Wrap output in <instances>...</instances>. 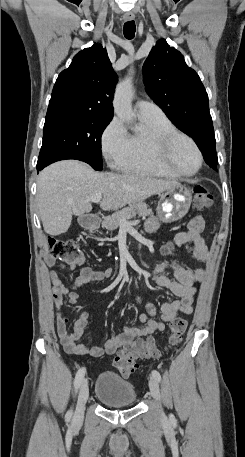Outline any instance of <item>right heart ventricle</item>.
I'll return each mask as SVG.
<instances>
[{"label":"right heart ventricle","instance_id":"1","mask_svg":"<svg viewBox=\"0 0 245 457\" xmlns=\"http://www.w3.org/2000/svg\"><path fill=\"white\" fill-rule=\"evenodd\" d=\"M141 119L145 131L142 133L136 132L135 134L130 135L129 144L126 150L123 154L114 159V164L125 170H134L155 175H169L164 171L157 169L147 160L144 155L143 141L149 131L158 130L165 132L177 129L164 114L154 117H141Z\"/></svg>","mask_w":245,"mask_h":457}]
</instances>
